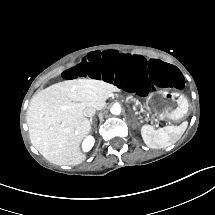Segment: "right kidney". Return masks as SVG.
Instances as JSON below:
<instances>
[{"label":"right kidney","instance_id":"1","mask_svg":"<svg viewBox=\"0 0 215 215\" xmlns=\"http://www.w3.org/2000/svg\"><path fill=\"white\" fill-rule=\"evenodd\" d=\"M95 144V138L93 135L88 134L85 136V138L82 140L81 143V150L83 153H88Z\"/></svg>","mask_w":215,"mask_h":215}]
</instances>
